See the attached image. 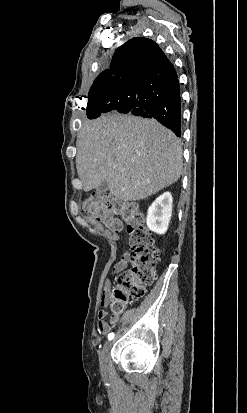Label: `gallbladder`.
Listing matches in <instances>:
<instances>
[{
    "label": "gallbladder",
    "mask_w": 247,
    "mask_h": 413,
    "mask_svg": "<svg viewBox=\"0 0 247 413\" xmlns=\"http://www.w3.org/2000/svg\"><path fill=\"white\" fill-rule=\"evenodd\" d=\"M96 190H97L98 194H100V196H103L104 192H106V190H108L107 182H102V184H100V186H97Z\"/></svg>",
    "instance_id": "1"
}]
</instances>
